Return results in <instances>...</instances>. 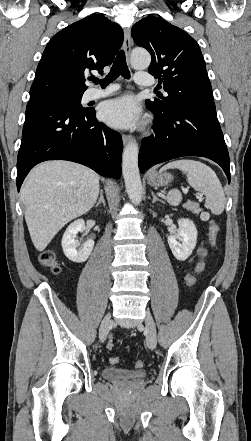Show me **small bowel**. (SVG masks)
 Instances as JSON below:
<instances>
[{"mask_svg": "<svg viewBox=\"0 0 251 441\" xmlns=\"http://www.w3.org/2000/svg\"><path fill=\"white\" fill-rule=\"evenodd\" d=\"M197 254H198L199 262H198V264H197L196 270H197L198 272H200V271L203 269V258H204L205 255H206V249H205L204 247H200V248L198 249Z\"/></svg>", "mask_w": 251, "mask_h": 441, "instance_id": "c3829d8e", "label": "small bowel"}]
</instances>
